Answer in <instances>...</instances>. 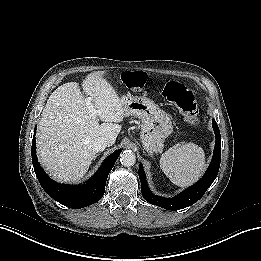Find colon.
Masks as SVG:
<instances>
[{"label":"colon","mask_w":261,"mask_h":261,"mask_svg":"<svg viewBox=\"0 0 261 261\" xmlns=\"http://www.w3.org/2000/svg\"><path fill=\"white\" fill-rule=\"evenodd\" d=\"M126 80L128 85L135 90L153 89L154 93L161 94L167 101L175 105L188 120L199 121L195 96L184 84L169 81L163 86L153 87L150 76L141 71L128 73Z\"/></svg>","instance_id":"obj_1"}]
</instances>
